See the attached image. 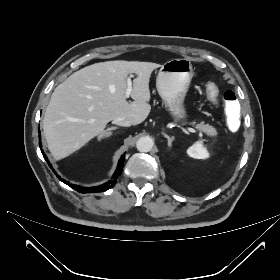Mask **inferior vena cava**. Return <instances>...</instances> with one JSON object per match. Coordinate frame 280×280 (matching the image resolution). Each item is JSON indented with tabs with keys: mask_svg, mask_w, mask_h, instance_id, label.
Listing matches in <instances>:
<instances>
[{
	"mask_svg": "<svg viewBox=\"0 0 280 280\" xmlns=\"http://www.w3.org/2000/svg\"><path fill=\"white\" fill-rule=\"evenodd\" d=\"M113 123L119 126L129 127L132 125L131 121L124 117H117L113 120Z\"/></svg>",
	"mask_w": 280,
	"mask_h": 280,
	"instance_id": "1",
	"label": "inferior vena cava"
}]
</instances>
